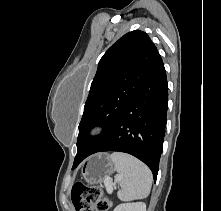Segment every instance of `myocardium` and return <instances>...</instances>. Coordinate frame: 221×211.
<instances>
[{
  "mask_svg": "<svg viewBox=\"0 0 221 211\" xmlns=\"http://www.w3.org/2000/svg\"><path fill=\"white\" fill-rule=\"evenodd\" d=\"M93 133V131H90V134H92Z\"/></svg>",
  "mask_w": 221,
  "mask_h": 211,
  "instance_id": "obj_1",
  "label": "myocardium"
}]
</instances>
